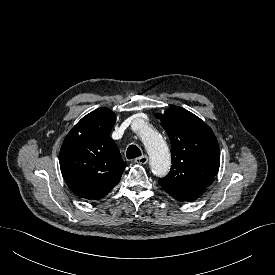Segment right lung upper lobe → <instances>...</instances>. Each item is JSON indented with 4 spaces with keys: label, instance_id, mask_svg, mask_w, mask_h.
<instances>
[{
    "label": "right lung upper lobe",
    "instance_id": "1",
    "mask_svg": "<svg viewBox=\"0 0 275 275\" xmlns=\"http://www.w3.org/2000/svg\"><path fill=\"white\" fill-rule=\"evenodd\" d=\"M115 121L110 109L98 108L71 129L61 146L62 176L79 197L101 199L120 181L127 165L110 138Z\"/></svg>",
    "mask_w": 275,
    "mask_h": 275
}]
</instances>
